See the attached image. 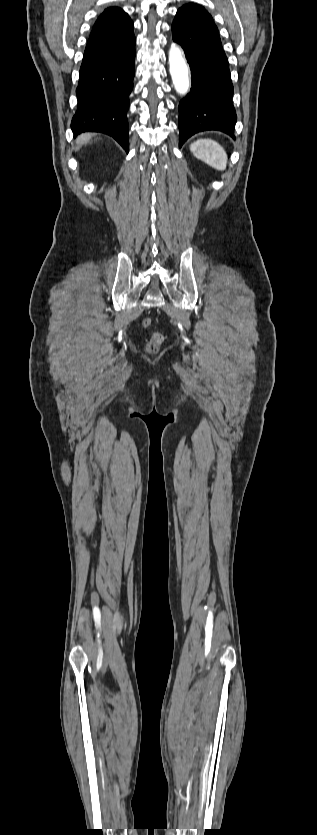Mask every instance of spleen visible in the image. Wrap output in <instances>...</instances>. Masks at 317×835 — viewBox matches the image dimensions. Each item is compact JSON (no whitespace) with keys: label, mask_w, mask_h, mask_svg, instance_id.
I'll use <instances>...</instances> for the list:
<instances>
[{"label":"spleen","mask_w":317,"mask_h":835,"mask_svg":"<svg viewBox=\"0 0 317 835\" xmlns=\"http://www.w3.org/2000/svg\"><path fill=\"white\" fill-rule=\"evenodd\" d=\"M193 155L219 171L226 170L227 154L224 148L214 140L200 139L190 145Z\"/></svg>","instance_id":"1"}]
</instances>
